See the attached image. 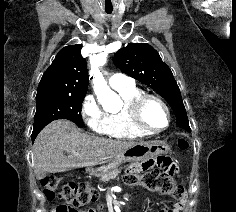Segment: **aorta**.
I'll return each mask as SVG.
<instances>
[{"label":"aorta","mask_w":236,"mask_h":212,"mask_svg":"<svg viewBox=\"0 0 236 212\" xmlns=\"http://www.w3.org/2000/svg\"><path fill=\"white\" fill-rule=\"evenodd\" d=\"M107 61V56L100 54L90 57V76L93 77V89L97 96L98 101L102 104L105 109L118 108L121 105L120 97L113 92L107 85L99 68L103 66Z\"/></svg>","instance_id":"obj_1"}]
</instances>
